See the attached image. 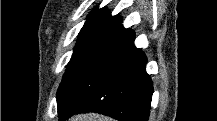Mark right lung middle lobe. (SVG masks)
Segmentation results:
<instances>
[{
	"mask_svg": "<svg viewBox=\"0 0 217 121\" xmlns=\"http://www.w3.org/2000/svg\"><path fill=\"white\" fill-rule=\"evenodd\" d=\"M123 30V26L115 22L84 26L80 31L79 40L58 88L57 96L81 77Z\"/></svg>",
	"mask_w": 217,
	"mask_h": 121,
	"instance_id": "dd1d6c3e",
	"label": "right lung middle lobe"
}]
</instances>
